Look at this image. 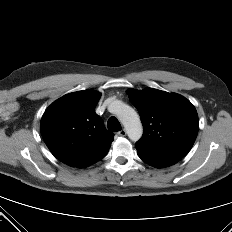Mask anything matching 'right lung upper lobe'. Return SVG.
<instances>
[{"label":"right lung upper lobe","instance_id":"cb5924a9","mask_svg":"<svg viewBox=\"0 0 232 232\" xmlns=\"http://www.w3.org/2000/svg\"><path fill=\"white\" fill-rule=\"evenodd\" d=\"M100 93L83 90L69 93L44 112L40 130L51 153L61 162L78 168L102 159L114 134L107 131L95 113Z\"/></svg>","mask_w":232,"mask_h":232}]
</instances>
